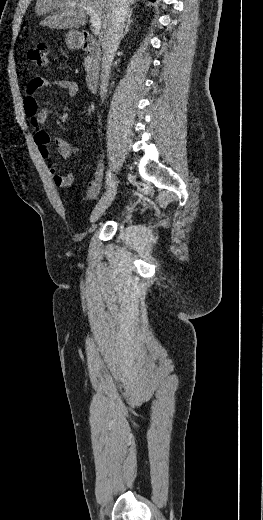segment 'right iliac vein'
I'll list each match as a JSON object with an SVG mask.
<instances>
[{
  "label": "right iliac vein",
  "instance_id": "obj_1",
  "mask_svg": "<svg viewBox=\"0 0 263 520\" xmlns=\"http://www.w3.org/2000/svg\"><path fill=\"white\" fill-rule=\"evenodd\" d=\"M116 192H117V180L114 178L111 181L107 192L100 199V201L95 206V208L91 214L90 222L92 224H94L103 215V213L106 211V209L110 206V204L112 203V201L116 195Z\"/></svg>",
  "mask_w": 263,
  "mask_h": 520
}]
</instances>
